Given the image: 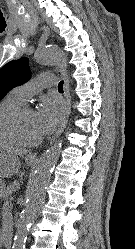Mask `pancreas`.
Segmentation results:
<instances>
[{"mask_svg":"<svg viewBox=\"0 0 135 249\" xmlns=\"http://www.w3.org/2000/svg\"><path fill=\"white\" fill-rule=\"evenodd\" d=\"M15 186L16 185H11V186H9L7 188H1L0 193L3 194L4 196H7V195L11 194L15 190Z\"/></svg>","mask_w":135,"mask_h":249,"instance_id":"cf45deb5","label":"pancreas"}]
</instances>
